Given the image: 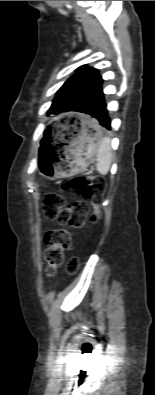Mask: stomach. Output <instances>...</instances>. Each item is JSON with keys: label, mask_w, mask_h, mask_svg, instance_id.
Returning a JSON list of instances; mask_svg holds the SVG:
<instances>
[{"label": "stomach", "mask_w": 155, "mask_h": 395, "mask_svg": "<svg viewBox=\"0 0 155 395\" xmlns=\"http://www.w3.org/2000/svg\"><path fill=\"white\" fill-rule=\"evenodd\" d=\"M102 131L96 122L86 115L78 116L72 132L62 140L63 146L58 153V162L41 167L46 177H68L84 170L97 154Z\"/></svg>", "instance_id": "1"}]
</instances>
